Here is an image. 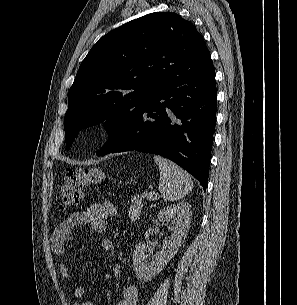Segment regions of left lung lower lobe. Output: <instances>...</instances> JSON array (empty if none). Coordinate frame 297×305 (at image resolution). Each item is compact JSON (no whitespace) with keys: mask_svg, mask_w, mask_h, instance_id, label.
Listing matches in <instances>:
<instances>
[{"mask_svg":"<svg viewBox=\"0 0 297 305\" xmlns=\"http://www.w3.org/2000/svg\"><path fill=\"white\" fill-rule=\"evenodd\" d=\"M216 94L213 64L169 80L131 121L124 138L99 155L132 150L161 155L193 175L206 191Z\"/></svg>","mask_w":297,"mask_h":305,"instance_id":"1","label":"left lung lower lobe"}]
</instances>
